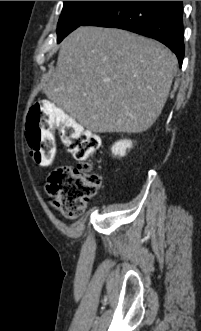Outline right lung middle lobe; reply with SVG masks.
I'll return each mask as SVG.
<instances>
[{
  "label": "right lung middle lobe",
  "instance_id": "right-lung-middle-lobe-1",
  "mask_svg": "<svg viewBox=\"0 0 201 331\" xmlns=\"http://www.w3.org/2000/svg\"><path fill=\"white\" fill-rule=\"evenodd\" d=\"M111 1H64L58 22L57 42H61L70 32L83 25Z\"/></svg>",
  "mask_w": 201,
  "mask_h": 331
}]
</instances>
